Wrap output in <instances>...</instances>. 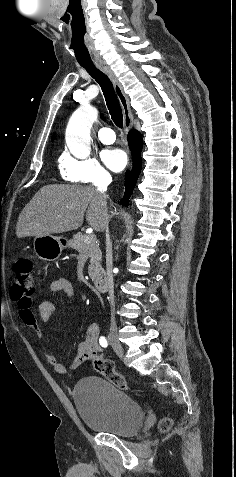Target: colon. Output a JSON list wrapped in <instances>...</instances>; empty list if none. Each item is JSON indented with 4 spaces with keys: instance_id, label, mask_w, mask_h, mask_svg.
I'll list each match as a JSON object with an SVG mask.
<instances>
[{
    "instance_id": "colon-1",
    "label": "colon",
    "mask_w": 236,
    "mask_h": 477,
    "mask_svg": "<svg viewBox=\"0 0 236 477\" xmlns=\"http://www.w3.org/2000/svg\"><path fill=\"white\" fill-rule=\"evenodd\" d=\"M35 284L33 278V264L28 258L17 260L13 267V282L11 287V297L18 302V308L30 309L32 296L34 294ZM93 365L97 372L101 373L114 386L126 390L128 389L127 380L114 369L111 360L102 357H96ZM170 427V422L163 423V429L166 431Z\"/></svg>"
}]
</instances>
